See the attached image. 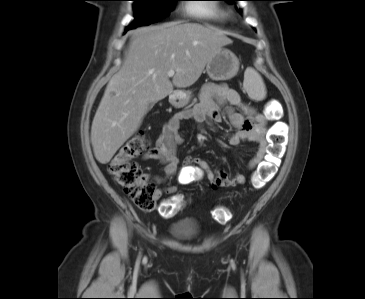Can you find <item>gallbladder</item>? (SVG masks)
<instances>
[{
  "instance_id": "bac80fb5",
  "label": "gallbladder",
  "mask_w": 365,
  "mask_h": 299,
  "mask_svg": "<svg viewBox=\"0 0 365 299\" xmlns=\"http://www.w3.org/2000/svg\"><path fill=\"white\" fill-rule=\"evenodd\" d=\"M154 106V103H150L148 106H147V111L151 110Z\"/></svg>"
}]
</instances>
